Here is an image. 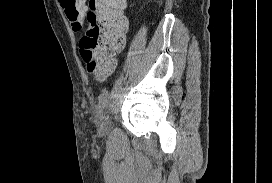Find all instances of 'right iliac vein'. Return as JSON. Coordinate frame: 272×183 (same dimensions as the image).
Returning <instances> with one entry per match:
<instances>
[{"label": "right iliac vein", "mask_w": 272, "mask_h": 183, "mask_svg": "<svg viewBox=\"0 0 272 183\" xmlns=\"http://www.w3.org/2000/svg\"><path fill=\"white\" fill-rule=\"evenodd\" d=\"M97 124L100 133H105L108 130V118L106 116V112L103 110H99L97 114Z\"/></svg>", "instance_id": "right-iliac-vein-1"}]
</instances>
